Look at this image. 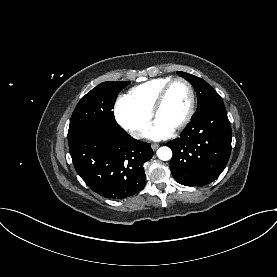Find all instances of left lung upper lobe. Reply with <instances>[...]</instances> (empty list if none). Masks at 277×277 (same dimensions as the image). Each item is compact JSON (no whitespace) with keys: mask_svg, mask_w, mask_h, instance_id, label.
Returning a JSON list of instances; mask_svg holds the SVG:
<instances>
[{"mask_svg":"<svg viewBox=\"0 0 277 277\" xmlns=\"http://www.w3.org/2000/svg\"><path fill=\"white\" fill-rule=\"evenodd\" d=\"M177 74L193 85L198 98L197 113L211 103L222 100L218 93L203 79L181 71H178Z\"/></svg>","mask_w":277,"mask_h":277,"instance_id":"left-lung-upper-lobe-1","label":"left lung upper lobe"}]
</instances>
